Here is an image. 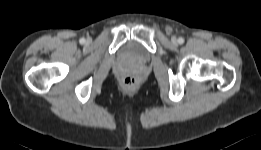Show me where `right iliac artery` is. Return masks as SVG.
Wrapping results in <instances>:
<instances>
[{"instance_id":"82829eb1","label":"right iliac artery","mask_w":261,"mask_h":150,"mask_svg":"<svg viewBox=\"0 0 261 150\" xmlns=\"http://www.w3.org/2000/svg\"><path fill=\"white\" fill-rule=\"evenodd\" d=\"M80 43H81V44H84V43H85V39H84V38H81V39H80Z\"/></svg>"}]
</instances>
